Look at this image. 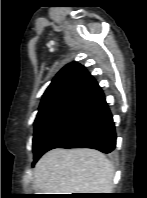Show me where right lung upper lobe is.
Instances as JSON below:
<instances>
[{
	"mask_svg": "<svg viewBox=\"0 0 147 198\" xmlns=\"http://www.w3.org/2000/svg\"><path fill=\"white\" fill-rule=\"evenodd\" d=\"M99 86L79 63L62 68L46 89L39 109L54 105H76Z\"/></svg>",
	"mask_w": 147,
	"mask_h": 198,
	"instance_id": "obj_1",
	"label": "right lung upper lobe"
}]
</instances>
